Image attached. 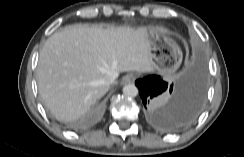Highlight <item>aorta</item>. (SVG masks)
I'll use <instances>...</instances> for the list:
<instances>
[{
    "mask_svg": "<svg viewBox=\"0 0 244 157\" xmlns=\"http://www.w3.org/2000/svg\"><path fill=\"white\" fill-rule=\"evenodd\" d=\"M122 91L128 97H135L138 94V88L134 84L125 85Z\"/></svg>",
    "mask_w": 244,
    "mask_h": 157,
    "instance_id": "1",
    "label": "aorta"
}]
</instances>
